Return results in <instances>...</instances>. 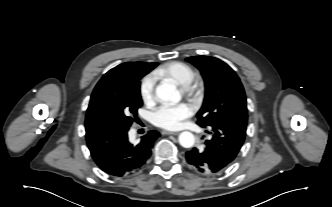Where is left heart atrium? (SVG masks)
<instances>
[{"mask_svg": "<svg viewBox=\"0 0 332 207\" xmlns=\"http://www.w3.org/2000/svg\"><path fill=\"white\" fill-rule=\"evenodd\" d=\"M193 114V108L186 104L162 105L152 113L154 125L168 130L179 129L183 121Z\"/></svg>", "mask_w": 332, "mask_h": 207, "instance_id": "obj_1", "label": "left heart atrium"}]
</instances>
